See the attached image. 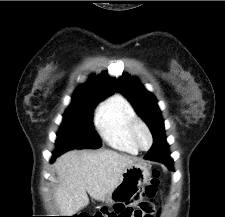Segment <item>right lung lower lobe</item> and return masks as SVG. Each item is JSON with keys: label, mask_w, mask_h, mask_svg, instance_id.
<instances>
[{"label": "right lung lower lobe", "mask_w": 225, "mask_h": 217, "mask_svg": "<svg viewBox=\"0 0 225 217\" xmlns=\"http://www.w3.org/2000/svg\"><path fill=\"white\" fill-rule=\"evenodd\" d=\"M60 154H58V153H56V152H54L53 153V157H52V159H51V161H53L57 156H59Z\"/></svg>", "instance_id": "obj_1"}]
</instances>
